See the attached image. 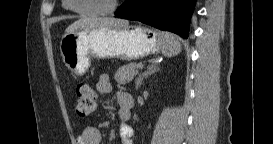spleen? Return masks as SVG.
<instances>
[{
  "instance_id": "1",
  "label": "spleen",
  "mask_w": 273,
  "mask_h": 144,
  "mask_svg": "<svg viewBox=\"0 0 273 144\" xmlns=\"http://www.w3.org/2000/svg\"><path fill=\"white\" fill-rule=\"evenodd\" d=\"M162 42V53L167 57L177 55L181 51V45L177 37L168 32H158Z\"/></svg>"
}]
</instances>
